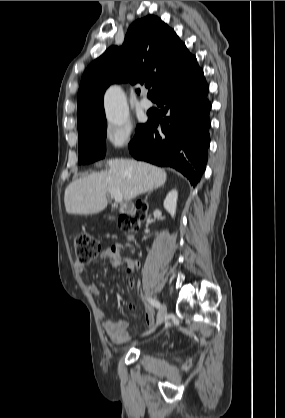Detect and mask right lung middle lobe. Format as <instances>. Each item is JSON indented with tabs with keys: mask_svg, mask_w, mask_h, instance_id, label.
I'll return each instance as SVG.
<instances>
[{
	"mask_svg": "<svg viewBox=\"0 0 285 418\" xmlns=\"http://www.w3.org/2000/svg\"><path fill=\"white\" fill-rule=\"evenodd\" d=\"M78 126L79 164H89L105 156L107 122L105 114ZM144 126L140 124L136 133Z\"/></svg>",
	"mask_w": 285,
	"mask_h": 418,
	"instance_id": "obj_1",
	"label": "right lung middle lobe"
}]
</instances>
